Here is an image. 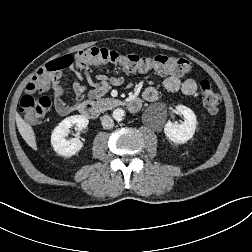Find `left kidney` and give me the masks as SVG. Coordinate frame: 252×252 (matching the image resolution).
Segmentation results:
<instances>
[{
  "label": "left kidney",
  "mask_w": 252,
  "mask_h": 252,
  "mask_svg": "<svg viewBox=\"0 0 252 252\" xmlns=\"http://www.w3.org/2000/svg\"><path fill=\"white\" fill-rule=\"evenodd\" d=\"M176 109L179 114L183 115L184 122L175 124L168 121L164 126V133L170 141L183 144L193 137L197 120L194 112L190 108L178 105Z\"/></svg>",
  "instance_id": "5707ae66"
}]
</instances>
